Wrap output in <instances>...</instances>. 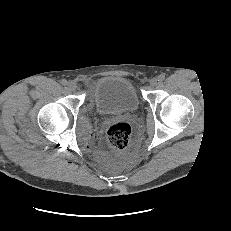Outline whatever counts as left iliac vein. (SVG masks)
<instances>
[{"label":"left iliac vein","instance_id":"4c4485c4","mask_svg":"<svg viewBox=\"0 0 231 231\" xmlns=\"http://www.w3.org/2000/svg\"><path fill=\"white\" fill-rule=\"evenodd\" d=\"M149 84L150 86L154 87L158 84V79L157 78H152L150 81H149Z\"/></svg>","mask_w":231,"mask_h":231}]
</instances>
